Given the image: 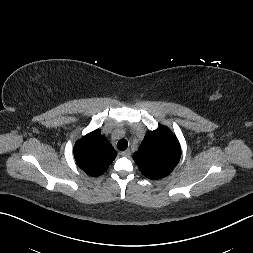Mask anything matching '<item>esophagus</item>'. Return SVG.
<instances>
[{
	"instance_id": "obj_1",
	"label": "esophagus",
	"mask_w": 253,
	"mask_h": 253,
	"mask_svg": "<svg viewBox=\"0 0 253 253\" xmlns=\"http://www.w3.org/2000/svg\"><path fill=\"white\" fill-rule=\"evenodd\" d=\"M130 154H131L130 150H126V151L120 152V155L121 156H125V157H129Z\"/></svg>"
}]
</instances>
